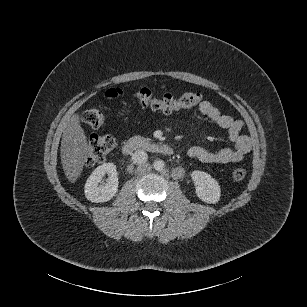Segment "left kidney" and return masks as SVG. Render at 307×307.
<instances>
[{
    "mask_svg": "<svg viewBox=\"0 0 307 307\" xmlns=\"http://www.w3.org/2000/svg\"><path fill=\"white\" fill-rule=\"evenodd\" d=\"M197 196L206 203L215 204L220 199V186L208 173L195 170L191 173Z\"/></svg>",
    "mask_w": 307,
    "mask_h": 307,
    "instance_id": "left-kidney-1",
    "label": "left kidney"
}]
</instances>
